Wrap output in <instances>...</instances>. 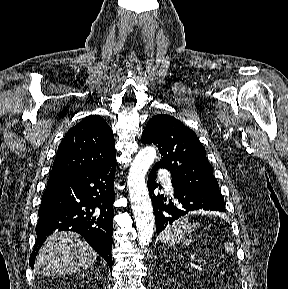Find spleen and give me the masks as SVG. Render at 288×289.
Listing matches in <instances>:
<instances>
[{"label": "spleen", "instance_id": "spleen-1", "mask_svg": "<svg viewBox=\"0 0 288 289\" xmlns=\"http://www.w3.org/2000/svg\"><path fill=\"white\" fill-rule=\"evenodd\" d=\"M199 227L196 223H188L185 218L175 221L169 225L160 235L163 245L172 246L184 239Z\"/></svg>", "mask_w": 288, "mask_h": 289}]
</instances>
